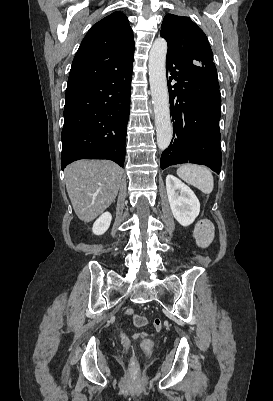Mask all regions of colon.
<instances>
[{
	"label": "colon",
	"instance_id": "5ec220e1",
	"mask_svg": "<svg viewBox=\"0 0 273 401\" xmlns=\"http://www.w3.org/2000/svg\"><path fill=\"white\" fill-rule=\"evenodd\" d=\"M200 226L204 230H209L211 223L208 220H204L200 223ZM198 239L199 241H212L213 234L212 232H199ZM134 321L138 328H143L145 326V318L141 313H138L135 316ZM130 355L134 356L135 352L131 351ZM128 372L130 374L129 375L130 380L135 381L139 378V374L141 373V368L139 367V364L136 362V357H133V362L130 364Z\"/></svg>",
	"mask_w": 273,
	"mask_h": 401
}]
</instances>
